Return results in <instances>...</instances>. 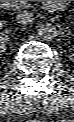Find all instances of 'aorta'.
I'll return each instance as SVG.
<instances>
[{
  "label": "aorta",
  "mask_w": 74,
  "mask_h": 122,
  "mask_svg": "<svg viewBox=\"0 0 74 122\" xmlns=\"http://www.w3.org/2000/svg\"><path fill=\"white\" fill-rule=\"evenodd\" d=\"M38 36L43 41H51L56 36V27L51 23H43L38 29Z\"/></svg>",
  "instance_id": "obj_1"
}]
</instances>
